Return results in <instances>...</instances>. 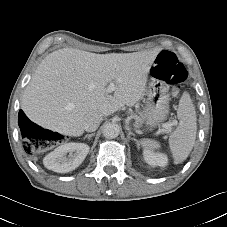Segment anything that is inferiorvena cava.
I'll use <instances>...</instances> for the list:
<instances>
[{"mask_svg":"<svg viewBox=\"0 0 227 227\" xmlns=\"http://www.w3.org/2000/svg\"><path fill=\"white\" fill-rule=\"evenodd\" d=\"M102 121V115L99 113L89 114L85 118L84 129L86 131L92 132L95 131Z\"/></svg>","mask_w":227,"mask_h":227,"instance_id":"obj_1","label":"inferior vena cava"}]
</instances>
